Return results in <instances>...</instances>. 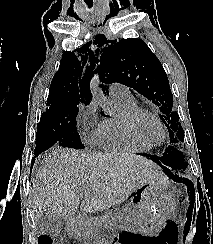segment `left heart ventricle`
<instances>
[{
	"label": "left heart ventricle",
	"instance_id": "left-heart-ventricle-1",
	"mask_svg": "<svg viewBox=\"0 0 213 244\" xmlns=\"http://www.w3.org/2000/svg\"><path fill=\"white\" fill-rule=\"evenodd\" d=\"M137 130L140 136L151 144H156L161 141L163 133L159 124L151 117H142L138 124Z\"/></svg>",
	"mask_w": 213,
	"mask_h": 244
}]
</instances>
